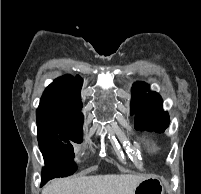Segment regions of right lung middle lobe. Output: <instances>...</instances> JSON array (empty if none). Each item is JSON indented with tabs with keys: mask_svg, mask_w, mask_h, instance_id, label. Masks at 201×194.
Instances as JSON below:
<instances>
[{
	"mask_svg": "<svg viewBox=\"0 0 201 194\" xmlns=\"http://www.w3.org/2000/svg\"><path fill=\"white\" fill-rule=\"evenodd\" d=\"M38 142L41 152L50 149L65 153L61 162L47 165V174L52 178L68 176L76 170L74 150L70 141L82 142L83 119L69 116L58 106L39 107L36 111Z\"/></svg>",
	"mask_w": 201,
	"mask_h": 194,
	"instance_id": "1",
	"label": "right lung middle lobe"
}]
</instances>
